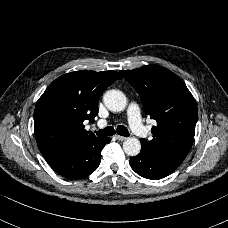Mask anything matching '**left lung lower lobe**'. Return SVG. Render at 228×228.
Listing matches in <instances>:
<instances>
[{
    "instance_id": "left-lung-lower-lobe-1",
    "label": "left lung lower lobe",
    "mask_w": 228,
    "mask_h": 228,
    "mask_svg": "<svg viewBox=\"0 0 228 228\" xmlns=\"http://www.w3.org/2000/svg\"><path fill=\"white\" fill-rule=\"evenodd\" d=\"M183 160L182 157L153 153L142 145L141 152L130 158V165L138 175L156 180L171 174Z\"/></svg>"
}]
</instances>
